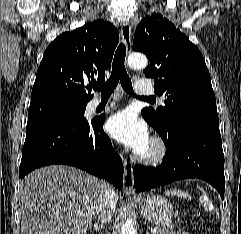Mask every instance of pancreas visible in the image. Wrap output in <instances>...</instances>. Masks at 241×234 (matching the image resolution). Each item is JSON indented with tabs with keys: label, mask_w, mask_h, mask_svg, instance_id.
<instances>
[{
	"label": "pancreas",
	"mask_w": 241,
	"mask_h": 234,
	"mask_svg": "<svg viewBox=\"0 0 241 234\" xmlns=\"http://www.w3.org/2000/svg\"><path fill=\"white\" fill-rule=\"evenodd\" d=\"M156 234H181V233L176 232L171 228H164L162 231H158Z\"/></svg>",
	"instance_id": "pancreas-1"
}]
</instances>
